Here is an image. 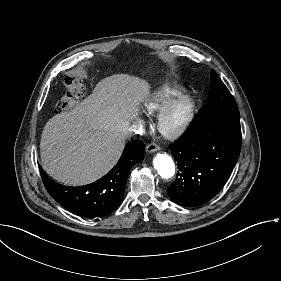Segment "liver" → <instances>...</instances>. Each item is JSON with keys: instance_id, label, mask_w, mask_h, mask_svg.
Instances as JSON below:
<instances>
[{"instance_id": "6515ba94", "label": "liver", "mask_w": 281, "mask_h": 281, "mask_svg": "<svg viewBox=\"0 0 281 281\" xmlns=\"http://www.w3.org/2000/svg\"><path fill=\"white\" fill-rule=\"evenodd\" d=\"M149 97V83L138 77L102 79L79 105L46 123L40 141L43 169L70 184L101 177L119 160L130 124Z\"/></svg>"}]
</instances>
